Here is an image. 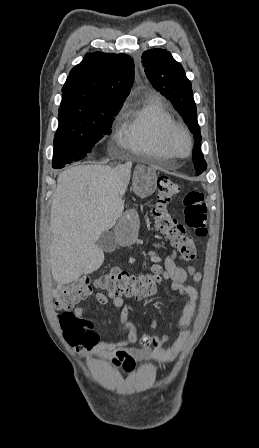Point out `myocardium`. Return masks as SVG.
I'll return each mask as SVG.
<instances>
[{"label":"myocardium","instance_id":"obj_1","mask_svg":"<svg viewBox=\"0 0 259 448\" xmlns=\"http://www.w3.org/2000/svg\"><path fill=\"white\" fill-rule=\"evenodd\" d=\"M177 133H180L185 138V141H186L185 159L191 158L193 155L192 135H191L189 129L181 123L173 121L165 126V128L163 129L162 134H161V141H162L163 148L165 150L175 149L174 145H173V138H174L175 134H177ZM141 157L145 161V163H162L161 161L153 160L152 158L148 157L145 153H143L141 155Z\"/></svg>","mask_w":259,"mask_h":448}]
</instances>
